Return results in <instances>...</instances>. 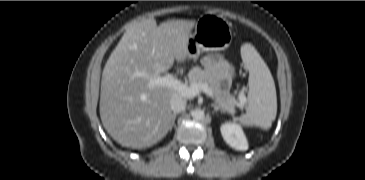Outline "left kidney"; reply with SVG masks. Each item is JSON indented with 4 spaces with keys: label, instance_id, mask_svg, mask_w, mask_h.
Here are the masks:
<instances>
[{
    "label": "left kidney",
    "instance_id": "obj_1",
    "mask_svg": "<svg viewBox=\"0 0 365 180\" xmlns=\"http://www.w3.org/2000/svg\"><path fill=\"white\" fill-rule=\"evenodd\" d=\"M220 130L224 140L232 148H235L237 150L248 149L247 139L242 129L238 125L227 122L222 124Z\"/></svg>",
    "mask_w": 365,
    "mask_h": 180
}]
</instances>
